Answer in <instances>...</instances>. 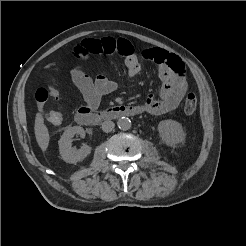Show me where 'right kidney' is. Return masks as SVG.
Instances as JSON below:
<instances>
[{
	"label": "right kidney",
	"mask_w": 246,
	"mask_h": 246,
	"mask_svg": "<svg viewBox=\"0 0 246 246\" xmlns=\"http://www.w3.org/2000/svg\"><path fill=\"white\" fill-rule=\"evenodd\" d=\"M75 134L84 137L85 131L80 126L69 127L64 131L63 135L58 141L59 151L62 159L65 162L72 164L84 160L91 153V147L86 144H84L78 150L72 147L71 140Z\"/></svg>",
	"instance_id": "obj_1"
}]
</instances>
